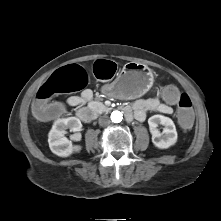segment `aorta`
Wrapping results in <instances>:
<instances>
[{
	"label": "aorta",
	"instance_id": "obj_1",
	"mask_svg": "<svg viewBox=\"0 0 221 221\" xmlns=\"http://www.w3.org/2000/svg\"><path fill=\"white\" fill-rule=\"evenodd\" d=\"M122 119H123L122 112L116 110V111H113L111 113V120H112V122L120 123L122 121Z\"/></svg>",
	"mask_w": 221,
	"mask_h": 221
}]
</instances>
